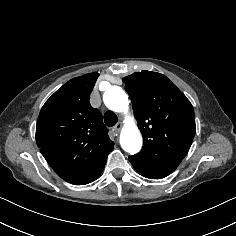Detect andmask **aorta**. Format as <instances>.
<instances>
[{
  "label": "aorta",
  "mask_w": 236,
  "mask_h": 236,
  "mask_svg": "<svg viewBox=\"0 0 236 236\" xmlns=\"http://www.w3.org/2000/svg\"><path fill=\"white\" fill-rule=\"evenodd\" d=\"M103 100L105 105L115 112L127 113L128 111V95L119 86L109 87L103 95ZM125 122L120 134V144L124 151L133 155L141 150L143 140L134 118H127Z\"/></svg>",
  "instance_id": "obj_1"
}]
</instances>
